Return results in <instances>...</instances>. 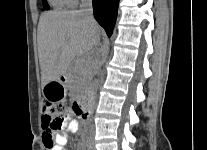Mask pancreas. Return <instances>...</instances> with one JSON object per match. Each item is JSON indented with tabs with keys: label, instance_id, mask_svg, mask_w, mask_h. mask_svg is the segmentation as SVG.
Returning a JSON list of instances; mask_svg holds the SVG:
<instances>
[{
	"label": "pancreas",
	"instance_id": "1",
	"mask_svg": "<svg viewBox=\"0 0 207 150\" xmlns=\"http://www.w3.org/2000/svg\"><path fill=\"white\" fill-rule=\"evenodd\" d=\"M90 60L87 59L86 63L78 61L70 68L69 83L72 89H81L88 85L91 79Z\"/></svg>",
	"mask_w": 207,
	"mask_h": 150
}]
</instances>
